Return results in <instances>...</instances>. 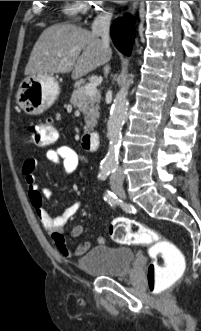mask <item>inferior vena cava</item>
<instances>
[{
    "mask_svg": "<svg viewBox=\"0 0 201 331\" xmlns=\"http://www.w3.org/2000/svg\"><path fill=\"white\" fill-rule=\"evenodd\" d=\"M111 13L104 12L99 14L93 24H92V33L97 36H101L102 43L105 49H109V27H110ZM109 71L108 67H105V73L107 74ZM116 176L123 179V175L120 169L117 170Z\"/></svg>",
    "mask_w": 201,
    "mask_h": 331,
    "instance_id": "1",
    "label": "inferior vena cava"
}]
</instances>
